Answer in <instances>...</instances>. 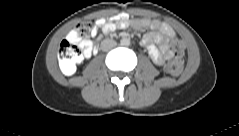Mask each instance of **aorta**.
<instances>
[{
	"instance_id": "1",
	"label": "aorta",
	"mask_w": 239,
	"mask_h": 136,
	"mask_svg": "<svg viewBox=\"0 0 239 136\" xmlns=\"http://www.w3.org/2000/svg\"><path fill=\"white\" fill-rule=\"evenodd\" d=\"M120 44L122 46H129L130 45V40L128 38H123V39H121Z\"/></svg>"
}]
</instances>
